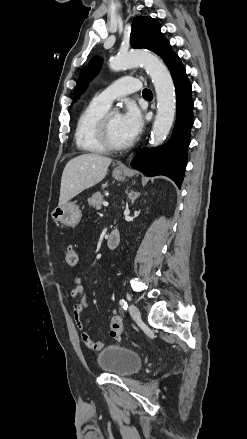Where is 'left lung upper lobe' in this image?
<instances>
[{"label": "left lung upper lobe", "mask_w": 247, "mask_h": 439, "mask_svg": "<svg viewBox=\"0 0 247 439\" xmlns=\"http://www.w3.org/2000/svg\"><path fill=\"white\" fill-rule=\"evenodd\" d=\"M131 45L133 48H144L153 51L159 55L170 70L173 64L179 60L172 50L169 42L160 31V24L151 17H136L132 23ZM101 59L93 58L88 67H85L79 76L76 90L75 100L86 89L87 84L92 77L99 71Z\"/></svg>", "instance_id": "left-lung-upper-lobe-1"}]
</instances>
